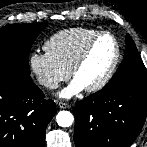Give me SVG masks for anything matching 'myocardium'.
Here are the masks:
<instances>
[{"label":"myocardium","mask_w":147,"mask_h":147,"mask_svg":"<svg viewBox=\"0 0 147 147\" xmlns=\"http://www.w3.org/2000/svg\"><path fill=\"white\" fill-rule=\"evenodd\" d=\"M103 36H110L113 39L114 44H115V56H114V59L110 65L108 71L106 72V74L97 83L85 88V90L88 92H97V91L103 89L110 82V80L113 78V76L117 70L118 64L120 62V58H121V46H120V43H119L117 37L109 31L97 32L83 46L82 50L80 51L79 55L75 59L74 63L72 64V67L70 69L71 76L73 78H75L77 71L80 69V67L86 61L93 45L95 44V42L99 38H101Z\"/></svg>","instance_id":"obj_1"}]
</instances>
